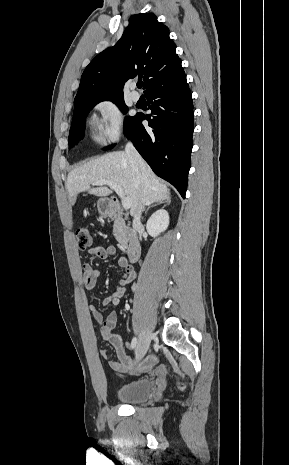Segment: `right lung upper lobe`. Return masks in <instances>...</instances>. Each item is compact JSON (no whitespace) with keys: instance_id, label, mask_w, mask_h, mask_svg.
I'll list each match as a JSON object with an SVG mask.
<instances>
[{"instance_id":"obj_1","label":"right lung upper lobe","mask_w":289,"mask_h":465,"mask_svg":"<svg viewBox=\"0 0 289 465\" xmlns=\"http://www.w3.org/2000/svg\"><path fill=\"white\" fill-rule=\"evenodd\" d=\"M169 29L153 13L133 15L118 43L98 54L82 74L74 104L123 99L124 83L144 78L145 96L186 78Z\"/></svg>"}]
</instances>
